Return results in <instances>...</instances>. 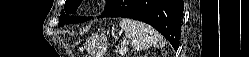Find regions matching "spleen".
Listing matches in <instances>:
<instances>
[{"instance_id":"spleen-1","label":"spleen","mask_w":249,"mask_h":57,"mask_svg":"<svg viewBox=\"0 0 249 57\" xmlns=\"http://www.w3.org/2000/svg\"><path fill=\"white\" fill-rule=\"evenodd\" d=\"M125 36L132 41L135 50H145L150 47H161L164 45V39L158 31L146 23L123 18L119 23Z\"/></svg>"}]
</instances>
